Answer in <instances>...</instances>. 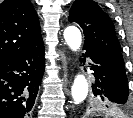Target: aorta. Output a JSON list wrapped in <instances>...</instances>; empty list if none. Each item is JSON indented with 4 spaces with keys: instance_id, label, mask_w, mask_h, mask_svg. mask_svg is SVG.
Masks as SVG:
<instances>
[{
    "instance_id": "1",
    "label": "aorta",
    "mask_w": 133,
    "mask_h": 118,
    "mask_svg": "<svg viewBox=\"0 0 133 118\" xmlns=\"http://www.w3.org/2000/svg\"><path fill=\"white\" fill-rule=\"evenodd\" d=\"M64 39L72 51L81 47L82 36L80 30L75 26H69L64 30ZM72 98L75 104L82 103L88 95V82L84 75L78 74L71 88Z\"/></svg>"
}]
</instances>
